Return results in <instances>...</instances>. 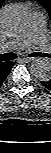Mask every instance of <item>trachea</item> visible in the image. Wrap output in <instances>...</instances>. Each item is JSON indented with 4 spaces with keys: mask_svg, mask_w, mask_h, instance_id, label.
Here are the masks:
<instances>
[{
    "mask_svg": "<svg viewBox=\"0 0 51 153\" xmlns=\"http://www.w3.org/2000/svg\"><path fill=\"white\" fill-rule=\"evenodd\" d=\"M36 56H42V53H31L29 57H36ZM17 58V55L15 53H4L0 55V60L1 61H11Z\"/></svg>",
    "mask_w": 51,
    "mask_h": 153,
    "instance_id": "obj_1",
    "label": "trachea"
}]
</instances>
